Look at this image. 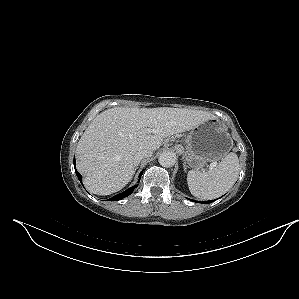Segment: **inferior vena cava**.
I'll return each mask as SVG.
<instances>
[{"instance_id": "602c4592", "label": "inferior vena cava", "mask_w": 299, "mask_h": 299, "mask_svg": "<svg viewBox=\"0 0 299 299\" xmlns=\"http://www.w3.org/2000/svg\"><path fill=\"white\" fill-rule=\"evenodd\" d=\"M152 154H153V152L151 150H147V149L139 150L134 155V162H135V164L138 165L139 162H140V160H142L143 158L151 157Z\"/></svg>"}]
</instances>
